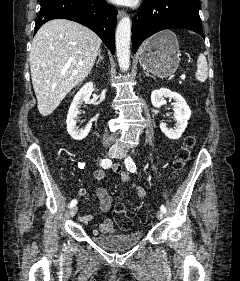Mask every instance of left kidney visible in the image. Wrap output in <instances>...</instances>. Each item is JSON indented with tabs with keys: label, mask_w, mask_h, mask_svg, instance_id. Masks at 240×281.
I'll use <instances>...</instances> for the list:
<instances>
[{
	"label": "left kidney",
	"mask_w": 240,
	"mask_h": 281,
	"mask_svg": "<svg viewBox=\"0 0 240 281\" xmlns=\"http://www.w3.org/2000/svg\"><path fill=\"white\" fill-rule=\"evenodd\" d=\"M165 98L173 99L175 101L172 105L177 123L174 129H168L165 123H161L160 129L166 137L176 140L179 139L185 131L191 116V110L180 94L172 92L169 89L161 88L154 90L151 93V102L156 108H160L166 102Z\"/></svg>",
	"instance_id": "obj_1"
}]
</instances>
